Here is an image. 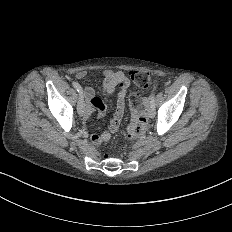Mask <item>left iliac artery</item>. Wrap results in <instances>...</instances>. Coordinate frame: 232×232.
I'll list each match as a JSON object with an SVG mask.
<instances>
[{"instance_id": "44dca946", "label": "left iliac artery", "mask_w": 232, "mask_h": 232, "mask_svg": "<svg viewBox=\"0 0 232 232\" xmlns=\"http://www.w3.org/2000/svg\"><path fill=\"white\" fill-rule=\"evenodd\" d=\"M154 98H155V92L152 91V93L150 94V100H151V104H152V107H153V108L155 107Z\"/></svg>"}]
</instances>
